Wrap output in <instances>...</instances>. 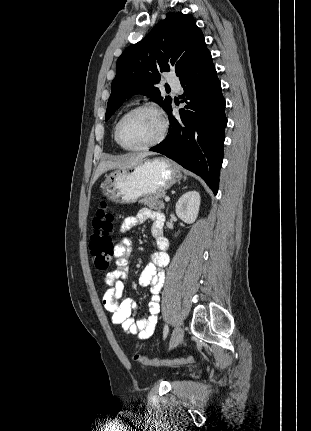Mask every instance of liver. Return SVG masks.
Instances as JSON below:
<instances>
[{"mask_svg": "<svg viewBox=\"0 0 311 431\" xmlns=\"http://www.w3.org/2000/svg\"><path fill=\"white\" fill-rule=\"evenodd\" d=\"M153 156L152 152H138V154H127V156H121L120 160L115 162H100L97 166V170L94 174L93 184L97 182L98 178L108 172V170H122V168H135L138 164H143L145 158Z\"/></svg>", "mask_w": 311, "mask_h": 431, "instance_id": "liver-1", "label": "liver"}]
</instances>
